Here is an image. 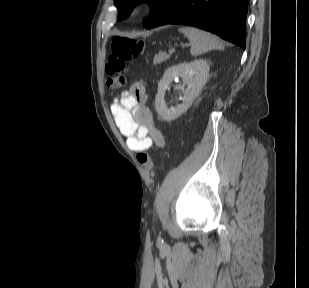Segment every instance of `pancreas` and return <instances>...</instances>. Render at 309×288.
I'll use <instances>...</instances> for the list:
<instances>
[{"mask_svg":"<svg viewBox=\"0 0 309 288\" xmlns=\"http://www.w3.org/2000/svg\"><path fill=\"white\" fill-rule=\"evenodd\" d=\"M169 55H167L166 53H159L158 55H155L154 59H153V63L154 64H161L163 62H165L166 60L169 59Z\"/></svg>","mask_w":309,"mask_h":288,"instance_id":"1","label":"pancreas"}]
</instances>
